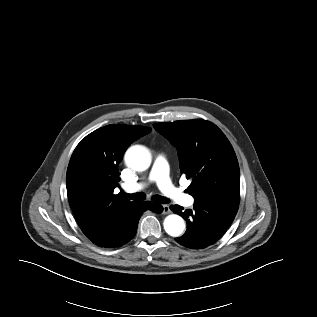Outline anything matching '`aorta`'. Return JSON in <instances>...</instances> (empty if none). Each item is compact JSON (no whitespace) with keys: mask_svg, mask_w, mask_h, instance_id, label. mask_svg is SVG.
<instances>
[{"mask_svg":"<svg viewBox=\"0 0 317 317\" xmlns=\"http://www.w3.org/2000/svg\"><path fill=\"white\" fill-rule=\"evenodd\" d=\"M125 163L134 171H145L151 164V154L143 146H132L125 153ZM163 226L167 234L178 237L185 229V222L179 215L170 214L164 219Z\"/></svg>","mask_w":317,"mask_h":317,"instance_id":"obj_1","label":"aorta"}]
</instances>
